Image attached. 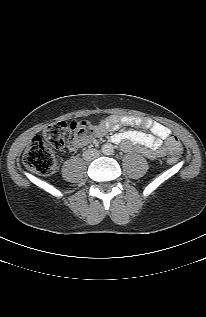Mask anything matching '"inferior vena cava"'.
<instances>
[{"label": "inferior vena cava", "mask_w": 206, "mask_h": 317, "mask_svg": "<svg viewBox=\"0 0 206 317\" xmlns=\"http://www.w3.org/2000/svg\"><path fill=\"white\" fill-rule=\"evenodd\" d=\"M99 151L96 149H88L83 153V158L86 161H91L94 160L99 156Z\"/></svg>", "instance_id": "602c4592"}]
</instances>
